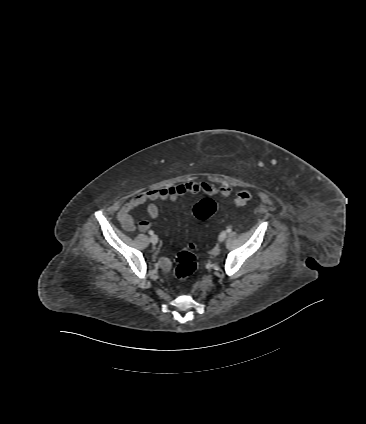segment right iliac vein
I'll use <instances>...</instances> for the list:
<instances>
[{
    "instance_id": "1",
    "label": "right iliac vein",
    "mask_w": 366,
    "mask_h": 424,
    "mask_svg": "<svg viewBox=\"0 0 366 424\" xmlns=\"http://www.w3.org/2000/svg\"><path fill=\"white\" fill-rule=\"evenodd\" d=\"M150 242L152 243V244H157V242H158V237L156 236V235H152L151 237H150Z\"/></svg>"
}]
</instances>
